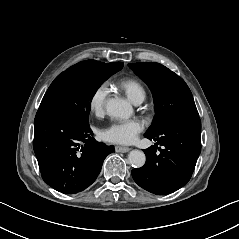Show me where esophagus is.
Wrapping results in <instances>:
<instances>
[{
    "instance_id": "34e87169",
    "label": "esophagus",
    "mask_w": 239,
    "mask_h": 239,
    "mask_svg": "<svg viewBox=\"0 0 239 239\" xmlns=\"http://www.w3.org/2000/svg\"><path fill=\"white\" fill-rule=\"evenodd\" d=\"M115 151L116 152H121V153H126V152L130 151V148L129 147L116 146Z\"/></svg>"
}]
</instances>
